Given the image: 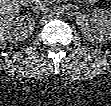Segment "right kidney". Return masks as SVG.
I'll return each instance as SVG.
<instances>
[{"label": "right kidney", "mask_w": 111, "mask_h": 106, "mask_svg": "<svg viewBox=\"0 0 111 106\" xmlns=\"http://www.w3.org/2000/svg\"><path fill=\"white\" fill-rule=\"evenodd\" d=\"M34 21V18L28 15L17 17L10 25L9 38L14 41L28 38L34 30Z\"/></svg>", "instance_id": "ca27d5eb"}]
</instances>
